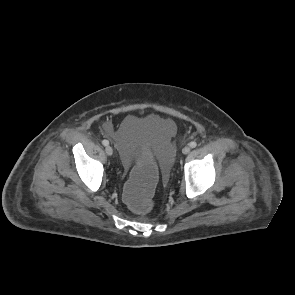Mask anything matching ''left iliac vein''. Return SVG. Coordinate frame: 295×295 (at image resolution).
Listing matches in <instances>:
<instances>
[{"mask_svg": "<svg viewBox=\"0 0 295 295\" xmlns=\"http://www.w3.org/2000/svg\"><path fill=\"white\" fill-rule=\"evenodd\" d=\"M190 152V147L189 146H185L183 149H182V153L183 154H188Z\"/></svg>", "mask_w": 295, "mask_h": 295, "instance_id": "4c4485c4", "label": "left iliac vein"}]
</instances>
